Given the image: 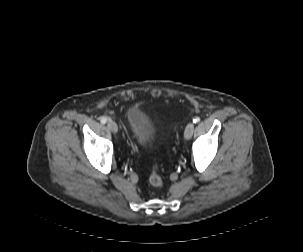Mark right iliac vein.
<instances>
[{"instance_id":"obj_1","label":"right iliac vein","mask_w":303,"mask_h":252,"mask_svg":"<svg viewBox=\"0 0 303 252\" xmlns=\"http://www.w3.org/2000/svg\"><path fill=\"white\" fill-rule=\"evenodd\" d=\"M107 127H108L109 130L112 131L113 133H117V132H118V126H117V124H116L114 121H112V120L108 121Z\"/></svg>"}]
</instances>
